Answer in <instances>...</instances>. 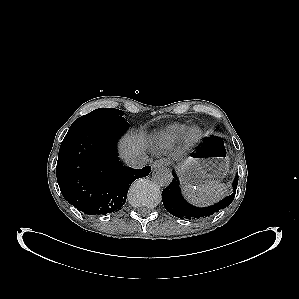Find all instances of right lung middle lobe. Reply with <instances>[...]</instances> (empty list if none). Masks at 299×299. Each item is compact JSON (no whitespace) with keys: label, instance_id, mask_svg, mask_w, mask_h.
Returning a JSON list of instances; mask_svg holds the SVG:
<instances>
[{"label":"right lung middle lobe","instance_id":"obj_1","mask_svg":"<svg viewBox=\"0 0 299 299\" xmlns=\"http://www.w3.org/2000/svg\"><path fill=\"white\" fill-rule=\"evenodd\" d=\"M123 111L112 108H99L76 119L70 128L82 125H96L123 122Z\"/></svg>","mask_w":299,"mask_h":299}]
</instances>
